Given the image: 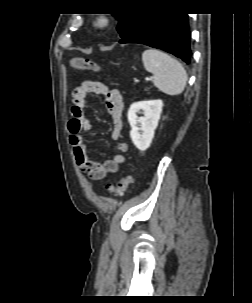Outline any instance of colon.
<instances>
[{"label":"colon","instance_id":"5ec220e1","mask_svg":"<svg viewBox=\"0 0 252 303\" xmlns=\"http://www.w3.org/2000/svg\"><path fill=\"white\" fill-rule=\"evenodd\" d=\"M70 66L74 69L87 70L91 72H100L101 67L90 59L74 58L70 62ZM132 175L123 176L116 184L107 186V190L111 195L120 196L124 194L132 183Z\"/></svg>","mask_w":252,"mask_h":303}]
</instances>
